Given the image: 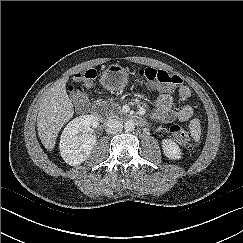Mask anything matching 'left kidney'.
Instances as JSON below:
<instances>
[{"mask_svg":"<svg viewBox=\"0 0 243 243\" xmlns=\"http://www.w3.org/2000/svg\"><path fill=\"white\" fill-rule=\"evenodd\" d=\"M162 149L166 157L172 160H179L181 158L180 147L170 139H164L162 141Z\"/></svg>","mask_w":243,"mask_h":243,"instance_id":"left-kidney-1","label":"left kidney"}]
</instances>
